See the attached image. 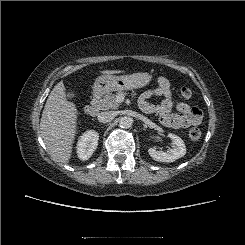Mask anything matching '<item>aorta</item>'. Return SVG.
I'll use <instances>...</instances> for the list:
<instances>
[{
    "instance_id": "762f6f07",
    "label": "aorta",
    "mask_w": 245,
    "mask_h": 245,
    "mask_svg": "<svg viewBox=\"0 0 245 245\" xmlns=\"http://www.w3.org/2000/svg\"><path fill=\"white\" fill-rule=\"evenodd\" d=\"M133 124V119L130 116H124L120 119L119 125L122 128H129Z\"/></svg>"
}]
</instances>
